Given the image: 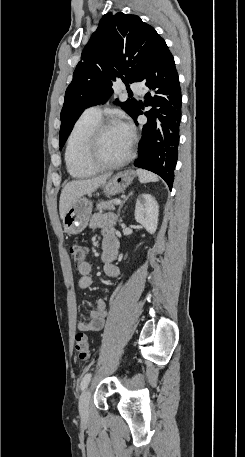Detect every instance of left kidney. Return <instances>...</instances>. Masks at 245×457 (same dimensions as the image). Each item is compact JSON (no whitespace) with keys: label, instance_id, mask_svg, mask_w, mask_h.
Wrapping results in <instances>:
<instances>
[{"label":"left kidney","instance_id":"left-kidney-1","mask_svg":"<svg viewBox=\"0 0 245 457\" xmlns=\"http://www.w3.org/2000/svg\"><path fill=\"white\" fill-rule=\"evenodd\" d=\"M159 206L152 194H139L135 206V220L145 226L146 231L153 235L157 229Z\"/></svg>","mask_w":245,"mask_h":457}]
</instances>
